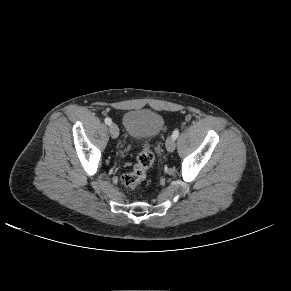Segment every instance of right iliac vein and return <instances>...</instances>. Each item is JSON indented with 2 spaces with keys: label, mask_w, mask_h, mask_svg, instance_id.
Wrapping results in <instances>:
<instances>
[{
  "label": "right iliac vein",
  "mask_w": 291,
  "mask_h": 291,
  "mask_svg": "<svg viewBox=\"0 0 291 291\" xmlns=\"http://www.w3.org/2000/svg\"><path fill=\"white\" fill-rule=\"evenodd\" d=\"M112 138L116 139L119 136V128L115 123H112L109 127Z\"/></svg>",
  "instance_id": "63e3f726"
}]
</instances>
